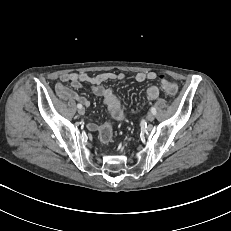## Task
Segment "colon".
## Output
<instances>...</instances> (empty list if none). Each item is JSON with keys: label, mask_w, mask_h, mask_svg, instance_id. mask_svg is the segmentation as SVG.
I'll list each match as a JSON object with an SVG mask.
<instances>
[{"label": "colon", "mask_w": 231, "mask_h": 231, "mask_svg": "<svg viewBox=\"0 0 231 231\" xmlns=\"http://www.w3.org/2000/svg\"><path fill=\"white\" fill-rule=\"evenodd\" d=\"M161 84L163 85V89L169 95H174L177 93V86L171 82H169L164 75L158 76ZM113 130L112 126L109 123L104 124L101 126L99 135L103 142H109L112 138Z\"/></svg>", "instance_id": "colon-1"}]
</instances>
